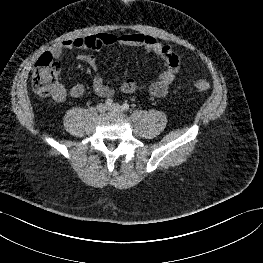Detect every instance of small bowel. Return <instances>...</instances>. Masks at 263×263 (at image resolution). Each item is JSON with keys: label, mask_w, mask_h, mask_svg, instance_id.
I'll return each instance as SVG.
<instances>
[{"label": "small bowel", "mask_w": 263, "mask_h": 263, "mask_svg": "<svg viewBox=\"0 0 263 263\" xmlns=\"http://www.w3.org/2000/svg\"><path fill=\"white\" fill-rule=\"evenodd\" d=\"M115 44L143 48L147 52L157 56L164 67V70L159 74L157 79L150 84L143 85L137 83L133 79H126L121 83L120 90L124 93L141 91L156 98L166 96L180 71V59L169 45L161 43L151 35L143 33H124L116 36L111 33L100 32L95 35L66 39L55 43L50 47L49 54L56 59H61L64 51L73 49L98 50L104 46ZM79 59L95 72L92 81L94 92L100 97H111L114 94V90L112 87L105 84L102 76L97 73V62L94 55L84 53L79 56ZM84 92L85 86L82 83L75 84L70 89H66L59 84L52 94V98L57 102H62L67 97L79 98Z\"/></svg>", "instance_id": "c3829d8e"}]
</instances>
